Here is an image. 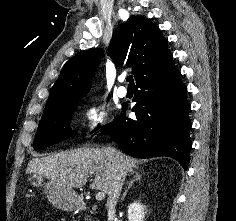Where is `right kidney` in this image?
<instances>
[{"mask_svg":"<svg viewBox=\"0 0 236 221\" xmlns=\"http://www.w3.org/2000/svg\"><path fill=\"white\" fill-rule=\"evenodd\" d=\"M145 206L135 201L128 206L129 221H143L145 217Z\"/></svg>","mask_w":236,"mask_h":221,"instance_id":"ca27d5eb","label":"right kidney"}]
</instances>
